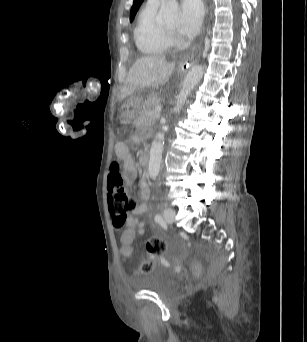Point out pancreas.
<instances>
[{
	"label": "pancreas",
	"instance_id": "1",
	"mask_svg": "<svg viewBox=\"0 0 307 342\" xmlns=\"http://www.w3.org/2000/svg\"><path fill=\"white\" fill-rule=\"evenodd\" d=\"M144 106L141 110V118L142 119H149L150 116L157 120L160 116V108L158 100L155 97H150L149 100H145L143 102Z\"/></svg>",
	"mask_w": 307,
	"mask_h": 342
}]
</instances>
